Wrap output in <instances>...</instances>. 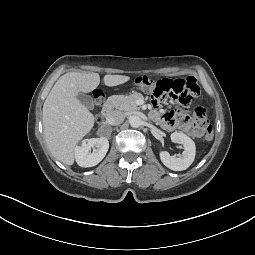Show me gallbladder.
I'll use <instances>...</instances> for the list:
<instances>
[{
  "label": "gallbladder",
  "instance_id": "bac80fb5",
  "mask_svg": "<svg viewBox=\"0 0 255 255\" xmlns=\"http://www.w3.org/2000/svg\"><path fill=\"white\" fill-rule=\"evenodd\" d=\"M77 99L89 110L94 109V100L91 96L79 93Z\"/></svg>",
  "mask_w": 255,
  "mask_h": 255
}]
</instances>
